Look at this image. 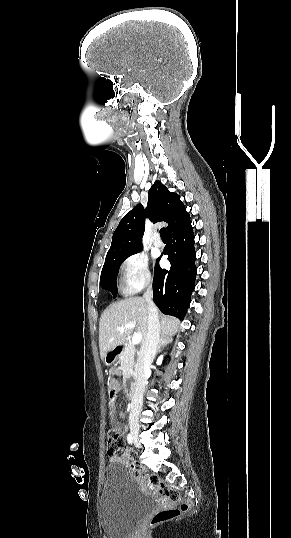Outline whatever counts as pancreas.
<instances>
[{
    "instance_id": "pancreas-1",
    "label": "pancreas",
    "mask_w": 291,
    "mask_h": 538,
    "mask_svg": "<svg viewBox=\"0 0 291 538\" xmlns=\"http://www.w3.org/2000/svg\"><path fill=\"white\" fill-rule=\"evenodd\" d=\"M134 349L130 344H126L124 352L120 355L121 368L124 371H129L132 369V364L134 362Z\"/></svg>"
}]
</instances>
